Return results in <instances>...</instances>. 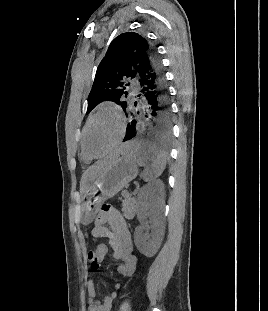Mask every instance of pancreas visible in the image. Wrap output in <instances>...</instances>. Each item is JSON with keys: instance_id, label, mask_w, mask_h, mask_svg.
Wrapping results in <instances>:
<instances>
[{"instance_id": "obj_1", "label": "pancreas", "mask_w": 268, "mask_h": 311, "mask_svg": "<svg viewBox=\"0 0 268 311\" xmlns=\"http://www.w3.org/2000/svg\"><path fill=\"white\" fill-rule=\"evenodd\" d=\"M124 200L122 201V211L124 213V216L126 218H133L135 213V207H136V201L134 198H131V196L123 195Z\"/></svg>"}]
</instances>
